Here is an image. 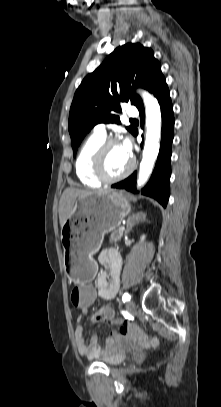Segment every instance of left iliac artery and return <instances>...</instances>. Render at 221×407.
I'll list each match as a JSON object with an SVG mask.
<instances>
[{
	"mask_svg": "<svg viewBox=\"0 0 221 407\" xmlns=\"http://www.w3.org/2000/svg\"><path fill=\"white\" fill-rule=\"evenodd\" d=\"M130 299H131V295L128 292L123 294L122 300L124 303L128 302Z\"/></svg>",
	"mask_w": 221,
	"mask_h": 407,
	"instance_id": "left-iliac-artery-1",
	"label": "left iliac artery"
}]
</instances>
